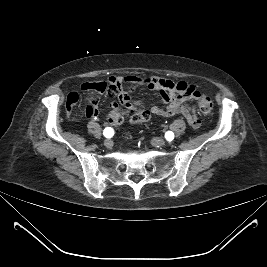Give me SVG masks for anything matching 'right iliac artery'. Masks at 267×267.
Listing matches in <instances>:
<instances>
[{
	"label": "right iliac artery",
	"mask_w": 267,
	"mask_h": 267,
	"mask_svg": "<svg viewBox=\"0 0 267 267\" xmlns=\"http://www.w3.org/2000/svg\"><path fill=\"white\" fill-rule=\"evenodd\" d=\"M103 134H104L105 137L111 138L114 135V131H113L112 128L107 127V128H105Z\"/></svg>",
	"instance_id": "82829eb1"
}]
</instances>
